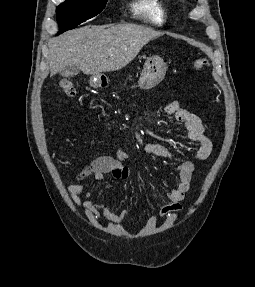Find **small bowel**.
I'll use <instances>...</instances> for the list:
<instances>
[{"instance_id":"1","label":"small bowel","mask_w":255,"mask_h":287,"mask_svg":"<svg viewBox=\"0 0 255 287\" xmlns=\"http://www.w3.org/2000/svg\"><path fill=\"white\" fill-rule=\"evenodd\" d=\"M162 112L166 115H174L176 120L183 126L185 138L198 144V149L193 158L198 161L206 160L213 149L212 141L205 134L202 120L199 116L181 108L177 101L167 103ZM146 154L178 160V156L169 148L158 143H147L143 147ZM128 157L125 151H117L114 155L99 156L82 169L77 176V182L69 187L70 196L75 205H83L89 220L97 222L103 218L114 223L123 221L127 216L126 210L112 211L102 203L90 200L91 193L80 184L86 178L94 177L102 181L104 176L110 174L116 180L128 178V168L123 161ZM178 182L166 196L167 202L160 208L158 214L152 215L148 224L155 225L158 217H167L182 209V200L190 188L194 163L191 159L181 161L177 166Z\"/></svg>"}]
</instances>
